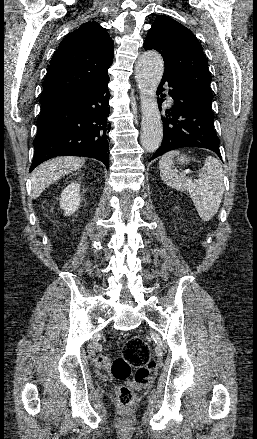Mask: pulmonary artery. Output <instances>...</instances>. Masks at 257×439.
Returning a JSON list of instances; mask_svg holds the SVG:
<instances>
[{
	"label": "pulmonary artery",
	"instance_id": "1",
	"mask_svg": "<svg viewBox=\"0 0 257 439\" xmlns=\"http://www.w3.org/2000/svg\"><path fill=\"white\" fill-rule=\"evenodd\" d=\"M169 101L172 103V99L170 97H168Z\"/></svg>",
	"mask_w": 257,
	"mask_h": 439
}]
</instances>
